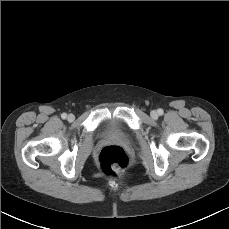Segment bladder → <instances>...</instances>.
<instances>
[{"mask_svg": "<svg viewBox=\"0 0 229 229\" xmlns=\"http://www.w3.org/2000/svg\"><path fill=\"white\" fill-rule=\"evenodd\" d=\"M102 129L106 136H119L120 124L114 119H105L102 123Z\"/></svg>", "mask_w": 229, "mask_h": 229, "instance_id": "obj_1", "label": "bladder"}]
</instances>
